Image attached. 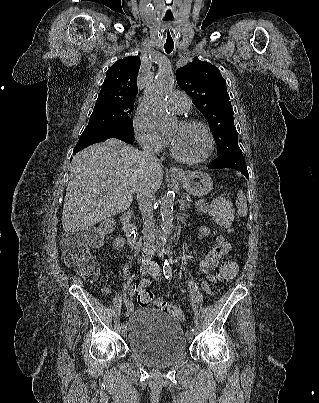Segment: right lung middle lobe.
Returning <instances> with one entry per match:
<instances>
[{"instance_id": "1", "label": "right lung middle lobe", "mask_w": 319, "mask_h": 403, "mask_svg": "<svg viewBox=\"0 0 319 403\" xmlns=\"http://www.w3.org/2000/svg\"><path fill=\"white\" fill-rule=\"evenodd\" d=\"M133 109L134 104L96 102L87 127L119 126L133 133Z\"/></svg>"}]
</instances>
